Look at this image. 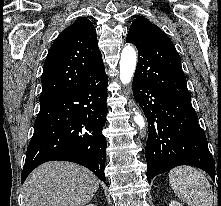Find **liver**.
<instances>
[{
	"instance_id": "obj_1",
	"label": "liver",
	"mask_w": 221,
	"mask_h": 206,
	"mask_svg": "<svg viewBox=\"0 0 221 206\" xmlns=\"http://www.w3.org/2000/svg\"><path fill=\"white\" fill-rule=\"evenodd\" d=\"M25 186V206H83L97 192L99 180L85 167L55 161L36 168Z\"/></svg>"
}]
</instances>
